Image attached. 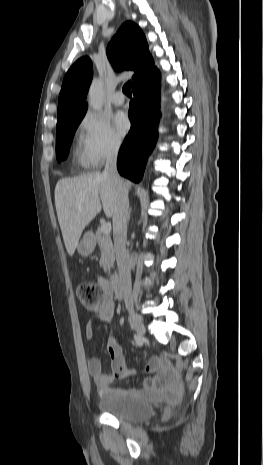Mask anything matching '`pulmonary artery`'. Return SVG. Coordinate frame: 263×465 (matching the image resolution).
I'll return each instance as SVG.
<instances>
[{
	"label": "pulmonary artery",
	"mask_w": 263,
	"mask_h": 465,
	"mask_svg": "<svg viewBox=\"0 0 263 465\" xmlns=\"http://www.w3.org/2000/svg\"><path fill=\"white\" fill-rule=\"evenodd\" d=\"M125 102V98H124V95L122 94V92L120 91H117L113 96H112V103L115 105V106H122Z\"/></svg>",
	"instance_id": "obj_1"
}]
</instances>
